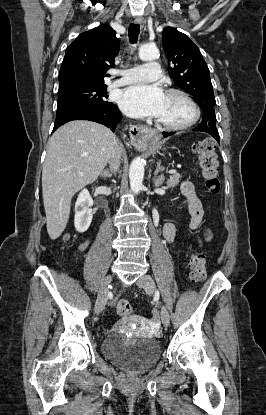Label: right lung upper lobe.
<instances>
[{"label": "right lung upper lobe", "mask_w": 266, "mask_h": 415, "mask_svg": "<svg viewBox=\"0 0 266 415\" xmlns=\"http://www.w3.org/2000/svg\"><path fill=\"white\" fill-rule=\"evenodd\" d=\"M119 40L109 25L80 34L67 47L59 72L58 93L104 84L105 72L114 67Z\"/></svg>", "instance_id": "1"}]
</instances>
